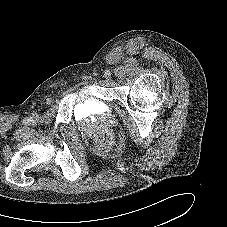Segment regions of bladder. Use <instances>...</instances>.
<instances>
[{"label": "bladder", "instance_id": "31cf9c89", "mask_svg": "<svg viewBox=\"0 0 227 227\" xmlns=\"http://www.w3.org/2000/svg\"><path fill=\"white\" fill-rule=\"evenodd\" d=\"M108 105L96 99L86 98L82 100L78 107L79 116H99L108 113Z\"/></svg>", "mask_w": 227, "mask_h": 227}]
</instances>
